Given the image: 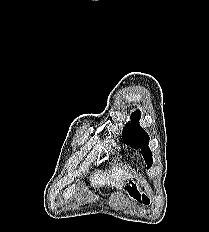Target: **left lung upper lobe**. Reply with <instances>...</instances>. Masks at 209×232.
<instances>
[{
	"instance_id": "obj_1",
	"label": "left lung upper lobe",
	"mask_w": 209,
	"mask_h": 232,
	"mask_svg": "<svg viewBox=\"0 0 209 232\" xmlns=\"http://www.w3.org/2000/svg\"><path fill=\"white\" fill-rule=\"evenodd\" d=\"M131 116V123L126 124L123 128V140L134 148H141L148 169L152 165V152L148 146L149 136L139 125V119L141 118L140 111L136 110Z\"/></svg>"
}]
</instances>
